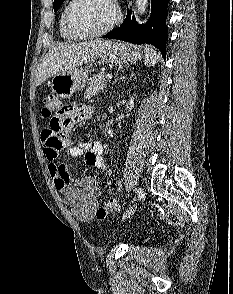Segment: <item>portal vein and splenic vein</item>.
Wrapping results in <instances>:
<instances>
[{"mask_svg":"<svg viewBox=\"0 0 233 294\" xmlns=\"http://www.w3.org/2000/svg\"><path fill=\"white\" fill-rule=\"evenodd\" d=\"M112 79V75H107V80H111Z\"/></svg>","mask_w":233,"mask_h":294,"instance_id":"1","label":"portal vein and splenic vein"}]
</instances>
